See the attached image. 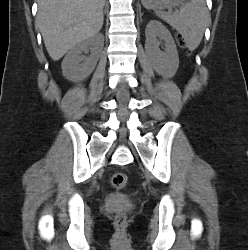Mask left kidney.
<instances>
[{
  "instance_id": "1",
  "label": "left kidney",
  "mask_w": 248,
  "mask_h": 250,
  "mask_svg": "<svg viewBox=\"0 0 248 250\" xmlns=\"http://www.w3.org/2000/svg\"><path fill=\"white\" fill-rule=\"evenodd\" d=\"M145 35V49L155 72L164 78L173 77L179 67V57L171 33L160 22L151 20L146 26ZM157 38L165 42V52L159 49Z\"/></svg>"
}]
</instances>
